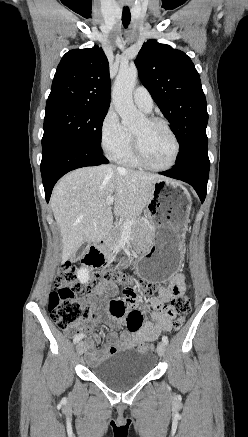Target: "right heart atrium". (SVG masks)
I'll list each match as a JSON object with an SVG mask.
<instances>
[{"mask_svg": "<svg viewBox=\"0 0 248 437\" xmlns=\"http://www.w3.org/2000/svg\"><path fill=\"white\" fill-rule=\"evenodd\" d=\"M100 142L105 153L111 158H119L129 148L132 138L122 126L113 108L108 109L100 126Z\"/></svg>", "mask_w": 248, "mask_h": 437, "instance_id": "obj_1", "label": "right heart atrium"}]
</instances>
